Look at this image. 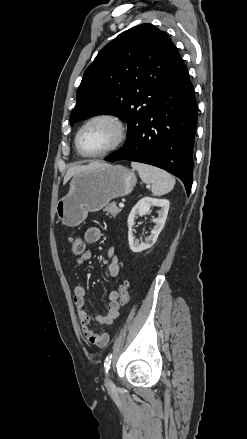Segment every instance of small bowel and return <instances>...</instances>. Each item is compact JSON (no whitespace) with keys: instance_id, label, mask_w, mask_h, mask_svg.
Masks as SVG:
<instances>
[{"instance_id":"obj_1","label":"small bowel","mask_w":247,"mask_h":439,"mask_svg":"<svg viewBox=\"0 0 247 439\" xmlns=\"http://www.w3.org/2000/svg\"><path fill=\"white\" fill-rule=\"evenodd\" d=\"M102 232L99 227H89L84 233V241L89 244L96 243L100 240ZM110 262L107 267L108 275L111 278H117L120 274V265L114 249L110 248L108 251ZM92 258V252L85 250L84 253L77 259V264L82 265ZM74 305L76 308L77 316L79 319L80 327L85 339L98 347H104L109 342V335L106 331L100 333L95 332L90 324L92 321L98 323L101 326L112 325L119 317L120 305H119V293L117 291H110L108 294V308L107 314L98 315L94 318L90 317L85 310V288L83 285H77L74 289L73 297Z\"/></svg>"}]
</instances>
